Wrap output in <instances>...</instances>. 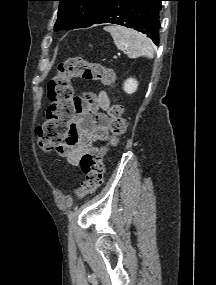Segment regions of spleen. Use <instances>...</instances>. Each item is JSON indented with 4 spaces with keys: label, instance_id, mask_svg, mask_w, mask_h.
Instances as JSON below:
<instances>
[{
    "label": "spleen",
    "instance_id": "spleen-1",
    "mask_svg": "<svg viewBox=\"0 0 216 285\" xmlns=\"http://www.w3.org/2000/svg\"><path fill=\"white\" fill-rule=\"evenodd\" d=\"M104 30L111 34L116 47L124 51L129 58L154 57L153 46L144 34L122 26H107Z\"/></svg>",
    "mask_w": 216,
    "mask_h": 285
}]
</instances>
